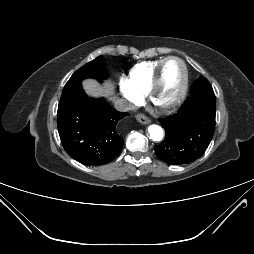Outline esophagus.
Here are the masks:
<instances>
[{
    "label": "esophagus",
    "mask_w": 254,
    "mask_h": 254,
    "mask_svg": "<svg viewBox=\"0 0 254 254\" xmlns=\"http://www.w3.org/2000/svg\"><path fill=\"white\" fill-rule=\"evenodd\" d=\"M136 119L141 124H149L151 122V120L148 117H146L144 114H137Z\"/></svg>",
    "instance_id": "1"
}]
</instances>
